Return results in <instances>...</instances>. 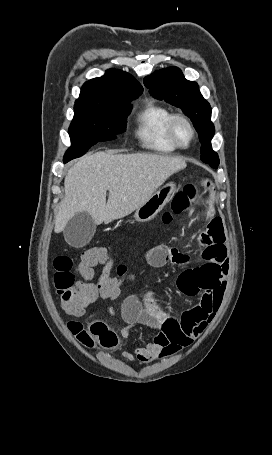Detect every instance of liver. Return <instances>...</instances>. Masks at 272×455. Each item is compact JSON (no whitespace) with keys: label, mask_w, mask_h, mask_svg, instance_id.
I'll return each mask as SVG.
<instances>
[{"label":"liver","mask_w":272,"mask_h":455,"mask_svg":"<svg viewBox=\"0 0 272 455\" xmlns=\"http://www.w3.org/2000/svg\"><path fill=\"white\" fill-rule=\"evenodd\" d=\"M180 157L99 151L79 159L64 180L65 197L55 216V233L79 212L99 225L131 214L175 172L184 169ZM109 198L106 202V192Z\"/></svg>","instance_id":"obj_1"}]
</instances>
